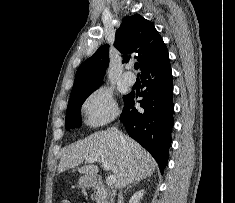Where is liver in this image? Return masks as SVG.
<instances>
[{"mask_svg": "<svg viewBox=\"0 0 235 203\" xmlns=\"http://www.w3.org/2000/svg\"><path fill=\"white\" fill-rule=\"evenodd\" d=\"M90 158L100 159L110 165V170L116 176L115 188H123L137 179L151 176L157 166L152 156L132 138L113 130H105L66 148L58 172L78 167ZM92 163L78 168V171L95 177L99 168Z\"/></svg>", "mask_w": 235, "mask_h": 203, "instance_id": "liver-1", "label": "liver"}]
</instances>
